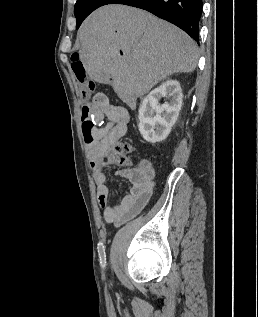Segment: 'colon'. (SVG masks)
<instances>
[{
  "label": "colon",
  "instance_id": "colon-1",
  "mask_svg": "<svg viewBox=\"0 0 258 317\" xmlns=\"http://www.w3.org/2000/svg\"><path fill=\"white\" fill-rule=\"evenodd\" d=\"M71 67L80 84L81 95L84 100L89 101L94 90V83L88 78L84 64L78 54H73L71 57ZM86 114L81 119L83 137L87 145L95 144L100 138L99 119L89 110V104ZM133 151V146L128 142H116L112 149L111 159L113 163L119 165H129V154Z\"/></svg>",
  "mask_w": 258,
  "mask_h": 317
}]
</instances>
